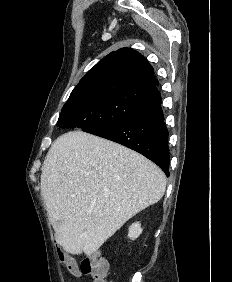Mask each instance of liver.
I'll return each instance as SVG.
<instances>
[{"mask_svg":"<svg viewBox=\"0 0 232 282\" xmlns=\"http://www.w3.org/2000/svg\"><path fill=\"white\" fill-rule=\"evenodd\" d=\"M165 190V174L153 162L82 131L67 132L53 142L41 174V194L56 241L73 255L95 253Z\"/></svg>","mask_w":232,"mask_h":282,"instance_id":"liver-1","label":"liver"}]
</instances>
